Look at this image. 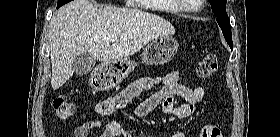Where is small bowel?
I'll return each mask as SVG.
<instances>
[{"instance_id": "small-bowel-1", "label": "small bowel", "mask_w": 280, "mask_h": 137, "mask_svg": "<svg viewBox=\"0 0 280 137\" xmlns=\"http://www.w3.org/2000/svg\"><path fill=\"white\" fill-rule=\"evenodd\" d=\"M159 83L162 87L151 96L137 105L134 112L138 117H143L161 107L163 112L178 119L190 118L196 109V105L205 102V92L201 87L191 88L180 82V74L177 71L169 72L163 76H145L131 83L123 92H129L133 97L138 96L143 91L151 90ZM121 93L110 97L97 104L94 112L97 115L107 117V121L92 120L86 121L76 128L74 137H88L91 130L97 127H104L100 137H132L128 131L116 120L118 111L127 105V101L120 98ZM180 96L184 99V104L179 107L174 105V97ZM213 125H205L200 134ZM172 137H185L184 133L178 132Z\"/></svg>"}]
</instances>
